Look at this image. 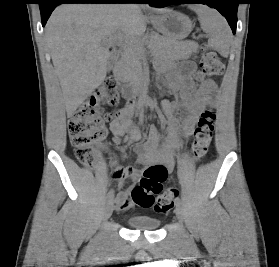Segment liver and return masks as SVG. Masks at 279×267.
Here are the masks:
<instances>
[{"instance_id": "liver-1", "label": "liver", "mask_w": 279, "mask_h": 267, "mask_svg": "<svg viewBox=\"0 0 279 267\" xmlns=\"http://www.w3.org/2000/svg\"><path fill=\"white\" fill-rule=\"evenodd\" d=\"M142 8L125 4H64L54 10L45 36L68 117L106 77L110 52L105 40L144 34L147 18Z\"/></svg>"}]
</instances>
